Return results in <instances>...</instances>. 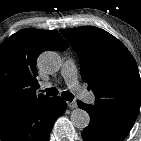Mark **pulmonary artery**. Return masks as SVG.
I'll use <instances>...</instances> for the list:
<instances>
[{"mask_svg":"<svg viewBox=\"0 0 141 141\" xmlns=\"http://www.w3.org/2000/svg\"><path fill=\"white\" fill-rule=\"evenodd\" d=\"M61 74L63 78L65 79V82L67 86L77 93L81 99H83L86 102H93L95 97L84 90L81 85L79 84L78 81V76H77V69L73 61L71 60H66L63 64ZM50 83H43L41 87L43 89L50 87Z\"/></svg>","mask_w":141,"mask_h":141,"instance_id":"1","label":"pulmonary artery"}]
</instances>
